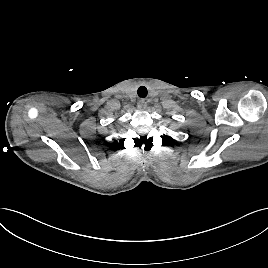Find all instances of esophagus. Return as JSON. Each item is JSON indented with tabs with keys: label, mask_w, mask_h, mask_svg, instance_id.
Masks as SVG:
<instances>
[{
	"label": "esophagus",
	"mask_w": 268,
	"mask_h": 268,
	"mask_svg": "<svg viewBox=\"0 0 268 268\" xmlns=\"http://www.w3.org/2000/svg\"><path fill=\"white\" fill-rule=\"evenodd\" d=\"M146 106H147V103L144 99H141L138 101V104H137L138 109L144 110Z\"/></svg>",
	"instance_id": "esophagus-1"
}]
</instances>
